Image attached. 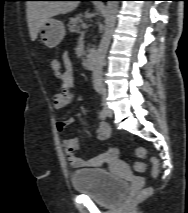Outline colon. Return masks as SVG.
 Instances as JSON below:
<instances>
[{
    "mask_svg": "<svg viewBox=\"0 0 188 213\" xmlns=\"http://www.w3.org/2000/svg\"><path fill=\"white\" fill-rule=\"evenodd\" d=\"M50 66L52 68L53 71H55L56 73H59L60 71V68H61V65H60V62L58 59L56 58H53L51 61H50ZM136 153H137V156L139 158H143L145 155H146V149L144 147H138L137 150H136ZM152 164H153V174L154 175H157L158 173V161L156 158H152ZM134 169L137 171V172H142L145 170V165L142 161H137L135 162L134 164ZM150 189L149 188H144L142 189L136 196H135V199L136 200H140V199H143L145 197H147L149 194H150Z\"/></svg>",
    "mask_w": 188,
    "mask_h": 213,
    "instance_id": "5ec220e1",
    "label": "colon"
}]
</instances>
